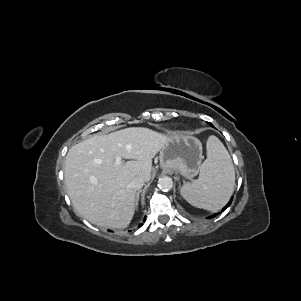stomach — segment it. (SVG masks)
<instances>
[{
  "label": "stomach",
  "instance_id": "obj_1",
  "mask_svg": "<svg viewBox=\"0 0 301 301\" xmlns=\"http://www.w3.org/2000/svg\"><path fill=\"white\" fill-rule=\"evenodd\" d=\"M202 158V144L190 134L172 136L159 153L163 169L175 171L186 178H193L200 172Z\"/></svg>",
  "mask_w": 301,
  "mask_h": 301
}]
</instances>
